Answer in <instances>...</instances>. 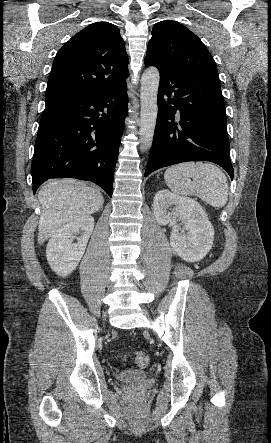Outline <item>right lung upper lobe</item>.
I'll list each match as a JSON object with an SVG mask.
<instances>
[{
  "instance_id": "obj_1",
  "label": "right lung upper lobe",
  "mask_w": 271,
  "mask_h": 443,
  "mask_svg": "<svg viewBox=\"0 0 271 443\" xmlns=\"http://www.w3.org/2000/svg\"><path fill=\"white\" fill-rule=\"evenodd\" d=\"M128 56L119 28L109 22L89 25L57 53L47 82L46 104L126 84Z\"/></svg>"
}]
</instances>
